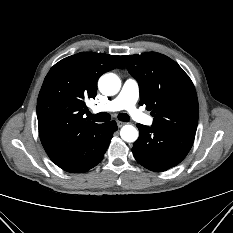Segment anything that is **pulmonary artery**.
<instances>
[{
  "label": "pulmonary artery",
  "instance_id": "e3ab8cb5",
  "mask_svg": "<svg viewBox=\"0 0 233 233\" xmlns=\"http://www.w3.org/2000/svg\"><path fill=\"white\" fill-rule=\"evenodd\" d=\"M139 97V84L133 78H127L123 83L120 93L106 104L94 108L95 112H116L127 110L129 116L144 125H152L154 120L152 117L143 113L136 107Z\"/></svg>",
  "mask_w": 233,
  "mask_h": 233
}]
</instances>
